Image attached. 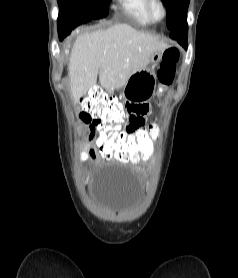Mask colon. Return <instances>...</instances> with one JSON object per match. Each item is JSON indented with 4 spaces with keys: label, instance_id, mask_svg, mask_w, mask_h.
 I'll return each instance as SVG.
<instances>
[{
    "label": "colon",
    "instance_id": "5ec220e1",
    "mask_svg": "<svg viewBox=\"0 0 238 278\" xmlns=\"http://www.w3.org/2000/svg\"><path fill=\"white\" fill-rule=\"evenodd\" d=\"M180 53L177 48H169L163 55L158 70L159 82L164 86L172 84L176 74V64ZM131 105H125L116 97L94 88L80 101L79 118L85 124L96 126L93 135L96 139L98 159H116V162H148L153 153V142L157 130H135L134 137L122 131ZM148 129H157V124H148Z\"/></svg>",
    "mask_w": 238,
    "mask_h": 278
}]
</instances>
